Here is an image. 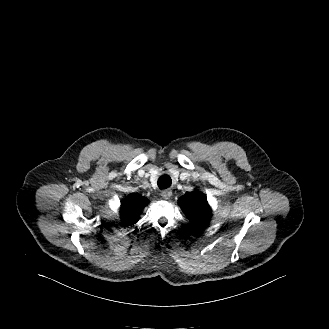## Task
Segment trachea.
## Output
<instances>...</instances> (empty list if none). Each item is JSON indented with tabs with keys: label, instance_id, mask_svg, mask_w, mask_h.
Returning <instances> with one entry per match:
<instances>
[{
	"label": "trachea",
	"instance_id": "1",
	"mask_svg": "<svg viewBox=\"0 0 329 329\" xmlns=\"http://www.w3.org/2000/svg\"><path fill=\"white\" fill-rule=\"evenodd\" d=\"M157 183L160 189H166L171 185V178L168 175H162Z\"/></svg>",
	"mask_w": 329,
	"mask_h": 329
}]
</instances>
